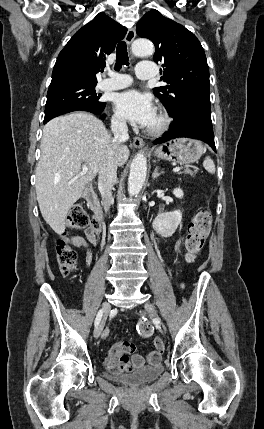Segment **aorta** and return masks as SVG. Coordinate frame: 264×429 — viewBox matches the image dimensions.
Listing matches in <instances>:
<instances>
[{"mask_svg":"<svg viewBox=\"0 0 264 429\" xmlns=\"http://www.w3.org/2000/svg\"><path fill=\"white\" fill-rule=\"evenodd\" d=\"M132 52L139 57H150L154 53L153 44L146 39H137L132 44ZM147 161L142 153H139L133 159L130 165V174L128 178V192L130 196L139 194L146 179Z\"/></svg>","mask_w":264,"mask_h":429,"instance_id":"aorta-1","label":"aorta"}]
</instances>
